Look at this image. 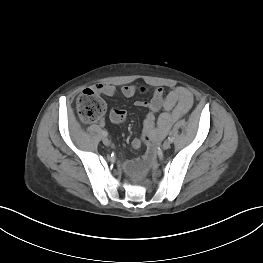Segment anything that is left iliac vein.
I'll use <instances>...</instances> for the list:
<instances>
[{
  "mask_svg": "<svg viewBox=\"0 0 263 263\" xmlns=\"http://www.w3.org/2000/svg\"><path fill=\"white\" fill-rule=\"evenodd\" d=\"M170 145H171V142H170L169 140H166V141L163 143L162 148H163L164 150H167V149L170 148Z\"/></svg>",
  "mask_w": 263,
  "mask_h": 263,
  "instance_id": "4c4485c4",
  "label": "left iliac vein"
}]
</instances>
